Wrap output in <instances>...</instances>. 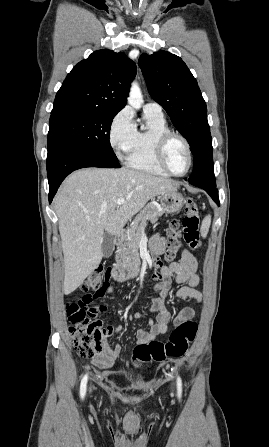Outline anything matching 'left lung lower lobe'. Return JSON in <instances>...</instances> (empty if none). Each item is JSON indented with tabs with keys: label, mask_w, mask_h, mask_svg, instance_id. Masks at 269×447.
<instances>
[{
	"label": "left lung lower lobe",
	"mask_w": 269,
	"mask_h": 447,
	"mask_svg": "<svg viewBox=\"0 0 269 447\" xmlns=\"http://www.w3.org/2000/svg\"><path fill=\"white\" fill-rule=\"evenodd\" d=\"M195 186L204 189L212 197V199L219 205V197H218V190L216 189V184L195 185Z\"/></svg>",
	"instance_id": "1"
}]
</instances>
